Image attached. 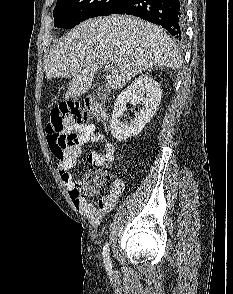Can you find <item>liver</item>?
<instances>
[{"label": "liver", "instance_id": "obj_1", "mask_svg": "<svg viewBox=\"0 0 233 294\" xmlns=\"http://www.w3.org/2000/svg\"><path fill=\"white\" fill-rule=\"evenodd\" d=\"M110 88L120 89L134 76L154 67L178 69L182 57L172 38L159 26L127 15L89 19L63 37L45 61L47 79L72 78L65 97L89 91L104 65Z\"/></svg>", "mask_w": 233, "mask_h": 294}]
</instances>
